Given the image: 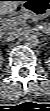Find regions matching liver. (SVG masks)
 Returning a JSON list of instances; mask_svg holds the SVG:
<instances>
[{
    "label": "liver",
    "mask_w": 50,
    "mask_h": 111,
    "mask_svg": "<svg viewBox=\"0 0 50 111\" xmlns=\"http://www.w3.org/2000/svg\"><path fill=\"white\" fill-rule=\"evenodd\" d=\"M22 2L13 0V1H1L0 2V13L1 15L9 14L13 12L19 4Z\"/></svg>",
    "instance_id": "6515ba94"
}]
</instances>
